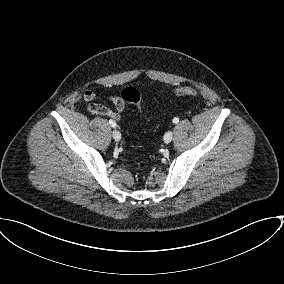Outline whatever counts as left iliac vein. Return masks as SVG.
<instances>
[{
  "label": "left iliac vein",
  "mask_w": 284,
  "mask_h": 284,
  "mask_svg": "<svg viewBox=\"0 0 284 284\" xmlns=\"http://www.w3.org/2000/svg\"><path fill=\"white\" fill-rule=\"evenodd\" d=\"M172 139H173V132L172 131L166 132V134L164 135V142L168 144L171 142Z\"/></svg>",
  "instance_id": "left-iliac-vein-1"
}]
</instances>
